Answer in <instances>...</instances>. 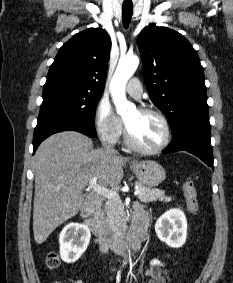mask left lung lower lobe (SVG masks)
Masks as SVG:
<instances>
[{
    "label": "left lung lower lobe",
    "instance_id": "obj_1",
    "mask_svg": "<svg viewBox=\"0 0 233 283\" xmlns=\"http://www.w3.org/2000/svg\"><path fill=\"white\" fill-rule=\"evenodd\" d=\"M172 135V141L163 151V154L181 150L187 151L213 168L209 120L191 121L172 133Z\"/></svg>",
    "mask_w": 233,
    "mask_h": 283
}]
</instances>
